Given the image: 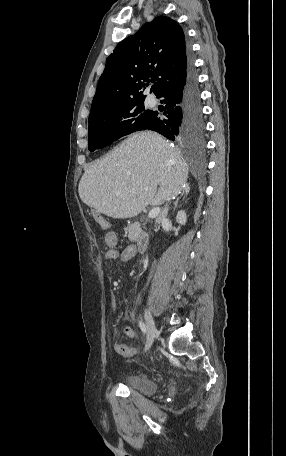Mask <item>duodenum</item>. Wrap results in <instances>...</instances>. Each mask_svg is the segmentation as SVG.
<instances>
[{
  "instance_id": "1",
  "label": "duodenum",
  "mask_w": 286,
  "mask_h": 456,
  "mask_svg": "<svg viewBox=\"0 0 286 456\" xmlns=\"http://www.w3.org/2000/svg\"><path fill=\"white\" fill-rule=\"evenodd\" d=\"M149 240V235L146 232L141 231L137 242V248L139 252H143L147 248Z\"/></svg>"
}]
</instances>
